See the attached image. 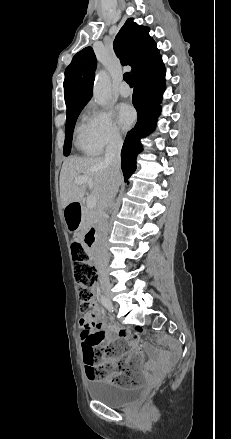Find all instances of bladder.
Segmentation results:
<instances>
[{"mask_svg": "<svg viewBox=\"0 0 231 439\" xmlns=\"http://www.w3.org/2000/svg\"><path fill=\"white\" fill-rule=\"evenodd\" d=\"M89 396L110 407H120L138 399L142 390L137 386L124 387L105 381L91 383L88 386Z\"/></svg>", "mask_w": 231, "mask_h": 439, "instance_id": "31cf9c89", "label": "bladder"}]
</instances>
